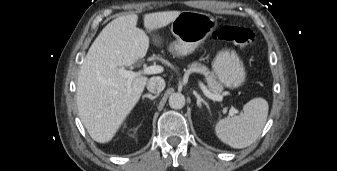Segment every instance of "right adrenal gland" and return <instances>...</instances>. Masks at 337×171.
I'll list each match as a JSON object with an SVG mask.
<instances>
[{"label": "right adrenal gland", "instance_id": "obj_1", "mask_svg": "<svg viewBox=\"0 0 337 171\" xmlns=\"http://www.w3.org/2000/svg\"><path fill=\"white\" fill-rule=\"evenodd\" d=\"M159 95H152V94H145V95H143L142 96V98L144 99V98H149L150 100H154V99H156L157 97H158Z\"/></svg>", "mask_w": 337, "mask_h": 171}]
</instances>
